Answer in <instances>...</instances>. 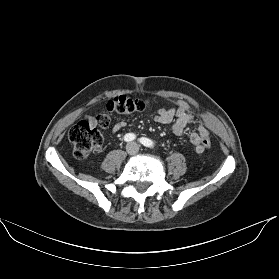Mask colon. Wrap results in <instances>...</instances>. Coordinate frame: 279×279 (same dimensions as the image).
Instances as JSON below:
<instances>
[{
	"label": "colon",
	"instance_id": "obj_1",
	"mask_svg": "<svg viewBox=\"0 0 279 279\" xmlns=\"http://www.w3.org/2000/svg\"><path fill=\"white\" fill-rule=\"evenodd\" d=\"M148 105L149 101L146 99L121 95L110 99L106 107L111 112L130 116L143 111ZM109 124L110 120L106 115H99L96 123L83 120L75 124L69 131L74 157L84 160L92 153L99 152L103 146V136L98 127L107 128ZM203 144L206 149L210 148V139L204 138Z\"/></svg>",
	"mask_w": 279,
	"mask_h": 279
}]
</instances>
